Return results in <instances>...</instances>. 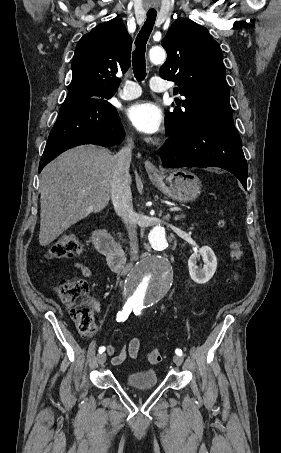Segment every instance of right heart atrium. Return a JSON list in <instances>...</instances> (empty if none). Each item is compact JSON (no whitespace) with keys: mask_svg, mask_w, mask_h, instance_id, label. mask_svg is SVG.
<instances>
[{"mask_svg":"<svg viewBox=\"0 0 281 453\" xmlns=\"http://www.w3.org/2000/svg\"><path fill=\"white\" fill-rule=\"evenodd\" d=\"M127 137H128V138H131V137H132V133H131V132H128V133H127Z\"/></svg>","mask_w":281,"mask_h":453,"instance_id":"right-heart-atrium-1","label":"right heart atrium"}]
</instances>
